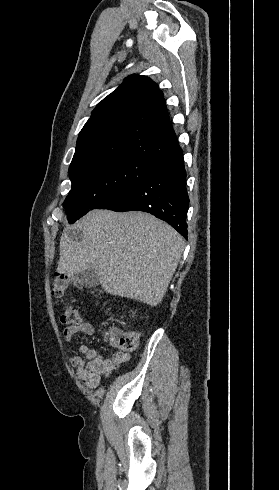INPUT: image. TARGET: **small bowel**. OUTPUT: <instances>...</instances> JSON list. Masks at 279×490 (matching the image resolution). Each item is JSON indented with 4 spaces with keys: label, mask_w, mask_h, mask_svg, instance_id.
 I'll list each match as a JSON object with an SVG mask.
<instances>
[{
    "label": "small bowel",
    "mask_w": 279,
    "mask_h": 490,
    "mask_svg": "<svg viewBox=\"0 0 279 490\" xmlns=\"http://www.w3.org/2000/svg\"><path fill=\"white\" fill-rule=\"evenodd\" d=\"M78 333L93 335L94 327L87 322L67 327L63 332L66 342L71 343ZM130 355L127 352H115L109 357H103L96 350L87 345L79 347V354L69 358V363L76 369L77 375L90 388L96 387L103 375H109L127 362Z\"/></svg>",
    "instance_id": "obj_1"
}]
</instances>
